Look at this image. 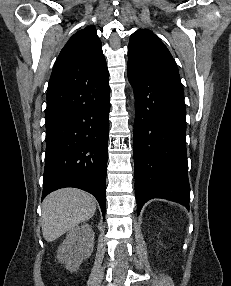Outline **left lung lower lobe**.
<instances>
[{"mask_svg": "<svg viewBox=\"0 0 231 286\" xmlns=\"http://www.w3.org/2000/svg\"><path fill=\"white\" fill-rule=\"evenodd\" d=\"M135 95L134 168L138 214L145 202L163 198L189 208L186 108L179 82L128 65Z\"/></svg>", "mask_w": 231, "mask_h": 286, "instance_id": "0a47b994", "label": "left lung lower lobe"}]
</instances>
